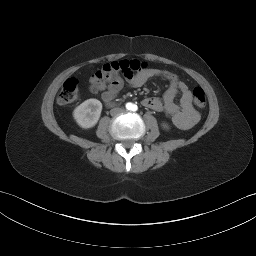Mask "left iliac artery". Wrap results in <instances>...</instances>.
I'll list each match as a JSON object with an SVG mask.
<instances>
[{
    "mask_svg": "<svg viewBox=\"0 0 256 256\" xmlns=\"http://www.w3.org/2000/svg\"><path fill=\"white\" fill-rule=\"evenodd\" d=\"M137 109H138L137 105L132 106V111H137Z\"/></svg>",
    "mask_w": 256,
    "mask_h": 256,
    "instance_id": "44dca946",
    "label": "left iliac artery"
}]
</instances>
